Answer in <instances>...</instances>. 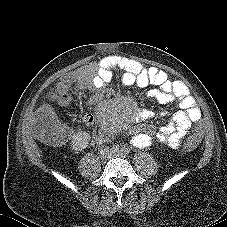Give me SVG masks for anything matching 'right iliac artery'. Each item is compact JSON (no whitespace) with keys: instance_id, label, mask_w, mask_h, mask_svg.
<instances>
[{"instance_id":"1","label":"right iliac artery","mask_w":227,"mask_h":227,"mask_svg":"<svg viewBox=\"0 0 227 227\" xmlns=\"http://www.w3.org/2000/svg\"><path fill=\"white\" fill-rule=\"evenodd\" d=\"M112 152H117L119 150V146L118 145H115L112 147Z\"/></svg>"}]
</instances>
